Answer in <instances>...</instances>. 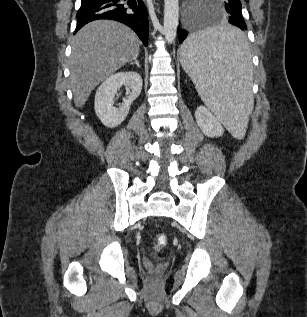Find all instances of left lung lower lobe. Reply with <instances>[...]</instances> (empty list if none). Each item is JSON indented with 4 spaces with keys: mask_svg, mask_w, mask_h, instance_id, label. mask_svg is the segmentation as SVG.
I'll list each match as a JSON object with an SVG mask.
<instances>
[{
    "mask_svg": "<svg viewBox=\"0 0 307 317\" xmlns=\"http://www.w3.org/2000/svg\"><path fill=\"white\" fill-rule=\"evenodd\" d=\"M225 8L227 7L225 6ZM228 22L234 26L239 27L243 31L247 30V26L244 19L236 15L228 14ZM188 33H189V30L178 27V36H179L180 44L187 37ZM245 42H246V36L243 32H241L239 37H234V38L230 37V38L224 39L221 42V45L226 51L230 53H234L238 51L239 49H241L243 45L245 44Z\"/></svg>",
    "mask_w": 307,
    "mask_h": 317,
    "instance_id": "left-lung-lower-lobe-1",
    "label": "left lung lower lobe"
}]
</instances>
